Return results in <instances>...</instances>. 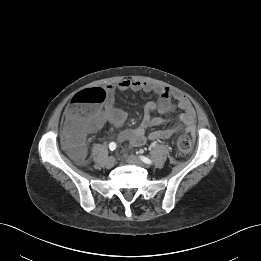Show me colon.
<instances>
[{"label":"colon","mask_w":261,"mask_h":261,"mask_svg":"<svg viewBox=\"0 0 261 261\" xmlns=\"http://www.w3.org/2000/svg\"><path fill=\"white\" fill-rule=\"evenodd\" d=\"M106 99L102 88H91L77 93L66 108V126L64 143L72 156L81 160L84 156L83 141L91 115ZM192 147L191 139L181 135L176 140V149L179 155H186Z\"/></svg>","instance_id":"1"}]
</instances>
